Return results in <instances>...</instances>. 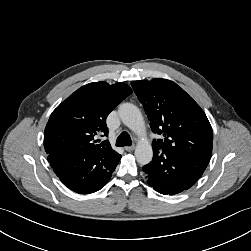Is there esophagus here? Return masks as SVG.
<instances>
[{
	"mask_svg": "<svg viewBox=\"0 0 251 251\" xmlns=\"http://www.w3.org/2000/svg\"><path fill=\"white\" fill-rule=\"evenodd\" d=\"M134 148H135L134 146H126L124 149H125L126 151L130 152V151H133Z\"/></svg>",
	"mask_w": 251,
	"mask_h": 251,
	"instance_id": "esophagus-1",
	"label": "esophagus"
}]
</instances>
